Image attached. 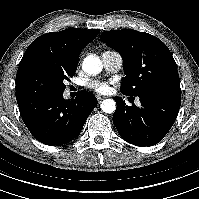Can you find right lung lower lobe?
Returning <instances> with one entry per match:
<instances>
[{
  "instance_id": "obj_1",
  "label": "right lung lower lobe",
  "mask_w": 199,
  "mask_h": 199,
  "mask_svg": "<svg viewBox=\"0 0 199 199\" xmlns=\"http://www.w3.org/2000/svg\"><path fill=\"white\" fill-rule=\"evenodd\" d=\"M22 119L31 134L46 145H63L75 139L98 104L95 96L80 91L74 100L63 93L17 100Z\"/></svg>"
}]
</instances>
